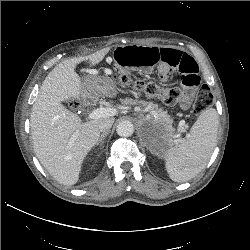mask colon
<instances>
[{
  "instance_id": "colon-1",
  "label": "colon",
  "mask_w": 250,
  "mask_h": 250,
  "mask_svg": "<svg viewBox=\"0 0 250 250\" xmlns=\"http://www.w3.org/2000/svg\"><path fill=\"white\" fill-rule=\"evenodd\" d=\"M115 79L123 85H133L137 90L145 94L160 99L164 104L174 106L185 101L186 96L177 87H164L154 82L133 81L128 75L115 74ZM213 103V95L207 86H202L197 98L193 104L195 114L203 113ZM80 103L78 100H72L69 106L77 109Z\"/></svg>"
}]
</instances>
